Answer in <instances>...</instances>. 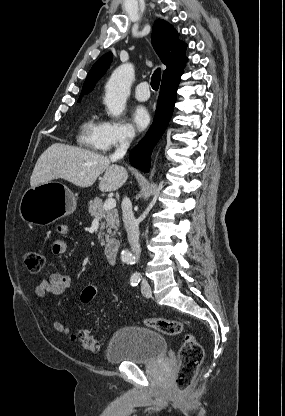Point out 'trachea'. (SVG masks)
<instances>
[{"mask_svg": "<svg viewBox=\"0 0 285 416\" xmlns=\"http://www.w3.org/2000/svg\"><path fill=\"white\" fill-rule=\"evenodd\" d=\"M161 80V69L157 68L151 78V87L153 90H158Z\"/></svg>", "mask_w": 285, "mask_h": 416, "instance_id": "1", "label": "trachea"}]
</instances>
